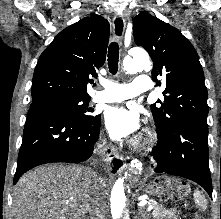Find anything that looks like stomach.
<instances>
[{
    "mask_svg": "<svg viewBox=\"0 0 221 219\" xmlns=\"http://www.w3.org/2000/svg\"><path fill=\"white\" fill-rule=\"evenodd\" d=\"M171 183H174V185ZM173 187V188H172ZM181 185L178 178H168L166 176L157 177L147 186L152 199H173V195H179Z\"/></svg>",
    "mask_w": 221,
    "mask_h": 219,
    "instance_id": "stomach-1",
    "label": "stomach"
}]
</instances>
